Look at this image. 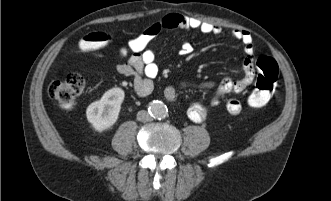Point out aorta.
Instances as JSON below:
<instances>
[{"label":"aorta","instance_id":"1","mask_svg":"<svg viewBox=\"0 0 331 201\" xmlns=\"http://www.w3.org/2000/svg\"><path fill=\"white\" fill-rule=\"evenodd\" d=\"M167 112V106L162 101H153L150 105V113L154 118H165Z\"/></svg>","mask_w":331,"mask_h":201}]
</instances>
